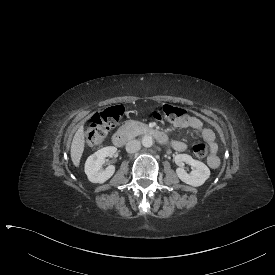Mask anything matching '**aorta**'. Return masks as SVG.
Here are the masks:
<instances>
[{"label": "aorta", "instance_id": "aorta-1", "mask_svg": "<svg viewBox=\"0 0 275 275\" xmlns=\"http://www.w3.org/2000/svg\"><path fill=\"white\" fill-rule=\"evenodd\" d=\"M142 145L146 148H149L153 145V139L150 135H145L142 138Z\"/></svg>", "mask_w": 275, "mask_h": 275}]
</instances>
